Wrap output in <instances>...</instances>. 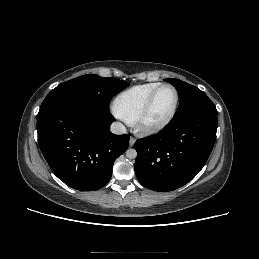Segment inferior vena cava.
<instances>
[{
    "instance_id": "obj_1",
    "label": "inferior vena cava",
    "mask_w": 259,
    "mask_h": 259,
    "mask_svg": "<svg viewBox=\"0 0 259 259\" xmlns=\"http://www.w3.org/2000/svg\"><path fill=\"white\" fill-rule=\"evenodd\" d=\"M110 130L114 134H125L126 128L125 126L120 122H113L110 126Z\"/></svg>"
}]
</instances>
